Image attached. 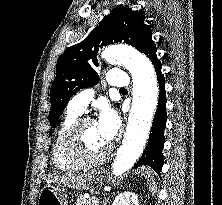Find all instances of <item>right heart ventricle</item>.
Segmentation results:
<instances>
[{
	"mask_svg": "<svg viewBox=\"0 0 222 205\" xmlns=\"http://www.w3.org/2000/svg\"><path fill=\"white\" fill-rule=\"evenodd\" d=\"M78 116V113L68 110L56 131L52 146V160L54 166L58 170L73 171L81 168L80 164L72 161L67 156L64 149L65 134L71 127V125L75 122V120L78 118Z\"/></svg>",
	"mask_w": 222,
	"mask_h": 205,
	"instance_id": "right-heart-ventricle-1",
	"label": "right heart ventricle"
}]
</instances>
